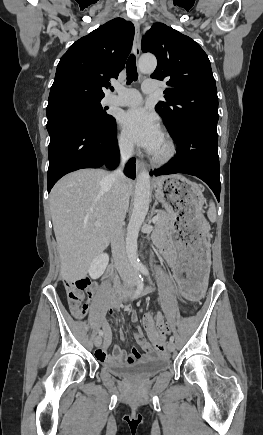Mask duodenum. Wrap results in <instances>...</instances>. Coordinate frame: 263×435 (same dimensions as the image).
I'll list each match as a JSON object with an SVG mask.
<instances>
[{
	"instance_id": "duodenum-1",
	"label": "duodenum",
	"mask_w": 263,
	"mask_h": 435,
	"mask_svg": "<svg viewBox=\"0 0 263 435\" xmlns=\"http://www.w3.org/2000/svg\"><path fill=\"white\" fill-rule=\"evenodd\" d=\"M121 293L123 295H126V294L132 293V291L129 288H127V287H123L122 290H121Z\"/></svg>"
}]
</instances>
